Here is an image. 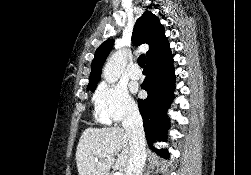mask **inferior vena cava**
I'll list each match as a JSON object with an SVG mask.
<instances>
[{
    "mask_svg": "<svg viewBox=\"0 0 251 175\" xmlns=\"http://www.w3.org/2000/svg\"><path fill=\"white\" fill-rule=\"evenodd\" d=\"M122 125L129 133L130 159L127 175H142V169L146 161V139L143 129V121L138 107L128 105L125 109Z\"/></svg>",
    "mask_w": 251,
    "mask_h": 175,
    "instance_id": "602c4592",
    "label": "inferior vena cava"
}]
</instances>
